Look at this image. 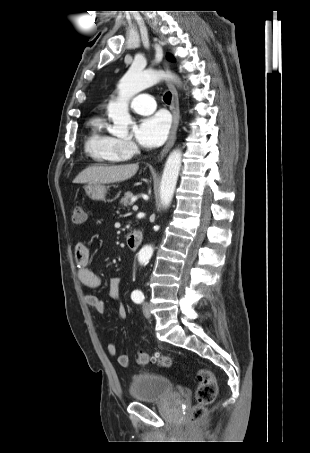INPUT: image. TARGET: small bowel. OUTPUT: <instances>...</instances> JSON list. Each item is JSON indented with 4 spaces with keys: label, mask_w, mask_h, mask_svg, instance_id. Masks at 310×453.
I'll list each match as a JSON object with an SVG mask.
<instances>
[{
    "label": "small bowel",
    "mask_w": 310,
    "mask_h": 453,
    "mask_svg": "<svg viewBox=\"0 0 310 453\" xmlns=\"http://www.w3.org/2000/svg\"><path fill=\"white\" fill-rule=\"evenodd\" d=\"M74 257L77 266V279L78 281L87 288L96 289L101 284L100 277L89 267L90 260V251L87 245L79 243L75 246ZM122 283L121 277H111L108 284V294L109 297L117 302V314L121 319L126 317V307L120 301V286ZM86 303L96 310L97 312L103 314L107 310L106 303L101 300L95 294H86L85 295ZM107 352L111 356L117 355V347L114 343L107 344ZM117 362L121 367H128L130 364V358L127 354L117 355Z\"/></svg>",
    "instance_id": "1"
}]
</instances>
